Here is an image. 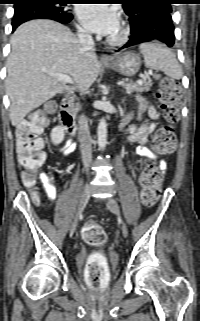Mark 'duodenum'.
<instances>
[{
  "label": "duodenum",
  "mask_w": 200,
  "mask_h": 321,
  "mask_svg": "<svg viewBox=\"0 0 200 321\" xmlns=\"http://www.w3.org/2000/svg\"><path fill=\"white\" fill-rule=\"evenodd\" d=\"M74 97L72 94H67L63 97L60 109H59V120L65 130L69 133H74L76 131V126L74 123V118L71 112Z\"/></svg>",
  "instance_id": "duodenum-1"
}]
</instances>
